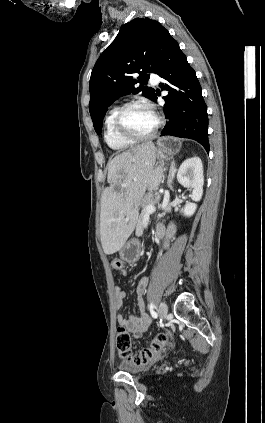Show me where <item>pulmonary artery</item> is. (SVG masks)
Returning a JSON list of instances; mask_svg holds the SVG:
<instances>
[{
  "label": "pulmonary artery",
  "instance_id": "1",
  "mask_svg": "<svg viewBox=\"0 0 265 423\" xmlns=\"http://www.w3.org/2000/svg\"><path fill=\"white\" fill-rule=\"evenodd\" d=\"M151 79L153 83H157L158 77L156 75H151Z\"/></svg>",
  "mask_w": 265,
  "mask_h": 423
}]
</instances>
